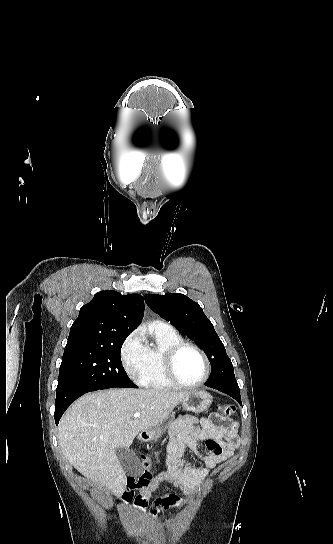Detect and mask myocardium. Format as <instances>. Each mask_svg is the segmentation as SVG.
<instances>
[{"instance_id": "f54148a6", "label": "myocardium", "mask_w": 333, "mask_h": 544, "mask_svg": "<svg viewBox=\"0 0 333 544\" xmlns=\"http://www.w3.org/2000/svg\"><path fill=\"white\" fill-rule=\"evenodd\" d=\"M186 349H192V350L196 351L201 356V358L203 359L204 364H205V374H204L203 378L197 383L189 384V383L183 382L178 377V374H177V371H176L177 359H178L179 355ZM163 371H164V374H165L166 378L173 385L181 387V388L192 389V388L201 387L202 385H204L208 381V379L210 377V374H211V364H210V361H209L206 353L201 348H199L195 344L185 342V341H181L179 343H176V344L170 346L165 351V353L163 355Z\"/></svg>"}]
</instances>
